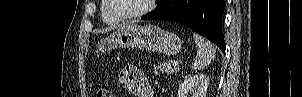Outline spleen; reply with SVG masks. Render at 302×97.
Wrapping results in <instances>:
<instances>
[{"label": "spleen", "mask_w": 302, "mask_h": 97, "mask_svg": "<svg viewBox=\"0 0 302 97\" xmlns=\"http://www.w3.org/2000/svg\"><path fill=\"white\" fill-rule=\"evenodd\" d=\"M193 38L197 45V56L191 68L200 70L208 66L215 59L216 50L210 41L197 33L193 34Z\"/></svg>", "instance_id": "3e777b00"}]
</instances>
